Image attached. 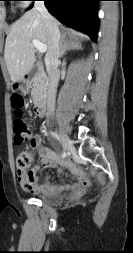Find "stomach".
<instances>
[{
    "label": "stomach",
    "mask_w": 133,
    "mask_h": 253,
    "mask_svg": "<svg viewBox=\"0 0 133 253\" xmlns=\"http://www.w3.org/2000/svg\"><path fill=\"white\" fill-rule=\"evenodd\" d=\"M19 88H22V89H27L28 88V83L26 81H24L23 79H21L19 81Z\"/></svg>",
    "instance_id": "obj_1"
}]
</instances>
